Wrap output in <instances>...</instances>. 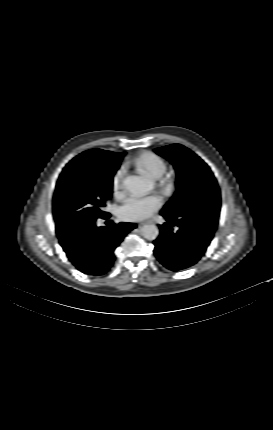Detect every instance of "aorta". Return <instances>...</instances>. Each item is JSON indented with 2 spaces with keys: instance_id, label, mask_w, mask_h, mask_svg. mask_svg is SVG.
<instances>
[{
  "instance_id": "aorta-1",
  "label": "aorta",
  "mask_w": 273,
  "mask_h": 430,
  "mask_svg": "<svg viewBox=\"0 0 273 430\" xmlns=\"http://www.w3.org/2000/svg\"><path fill=\"white\" fill-rule=\"evenodd\" d=\"M124 186L129 193L141 196L152 190L154 183L145 177L130 175L125 178ZM141 234L145 239L152 241L158 237L159 229L156 225L146 224L141 228Z\"/></svg>"
}]
</instances>
